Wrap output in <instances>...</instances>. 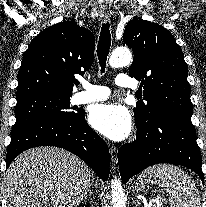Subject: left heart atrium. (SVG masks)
I'll use <instances>...</instances> for the list:
<instances>
[{
	"label": "left heart atrium",
	"mask_w": 206,
	"mask_h": 207,
	"mask_svg": "<svg viewBox=\"0 0 206 207\" xmlns=\"http://www.w3.org/2000/svg\"><path fill=\"white\" fill-rule=\"evenodd\" d=\"M89 122L97 131L114 141L124 140L132 130L129 112L113 103L94 105L89 113Z\"/></svg>",
	"instance_id": "obj_1"
}]
</instances>
